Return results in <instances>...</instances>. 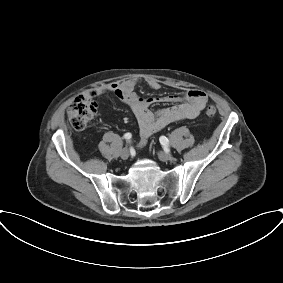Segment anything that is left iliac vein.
<instances>
[{"label": "left iliac vein", "instance_id": "left-iliac-vein-1", "mask_svg": "<svg viewBox=\"0 0 283 283\" xmlns=\"http://www.w3.org/2000/svg\"><path fill=\"white\" fill-rule=\"evenodd\" d=\"M158 158L161 161H168V160L172 159V155L170 153H168V152L160 151V152H158Z\"/></svg>", "mask_w": 283, "mask_h": 283}]
</instances>
